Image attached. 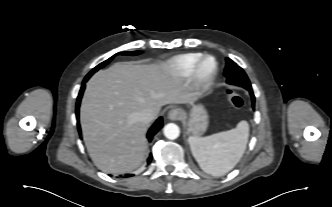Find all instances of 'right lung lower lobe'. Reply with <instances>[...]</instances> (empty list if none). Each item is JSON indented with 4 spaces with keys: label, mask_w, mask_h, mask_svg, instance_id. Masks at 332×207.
<instances>
[{
    "label": "right lung lower lobe",
    "mask_w": 332,
    "mask_h": 207,
    "mask_svg": "<svg viewBox=\"0 0 332 207\" xmlns=\"http://www.w3.org/2000/svg\"><path fill=\"white\" fill-rule=\"evenodd\" d=\"M87 81V79L85 78L82 84V87L80 89L78 98H77V103H76V117H77V126H78V130H79V134L81 135V130H80V125H79V106H80V101L82 98V94L83 91L85 89V82ZM163 126V122H162V118L160 117L154 124L153 126L150 128L148 134H147V138L149 139V141L152 140L153 136L162 128ZM152 160V154H150L149 158H148V163H150Z\"/></svg>",
    "instance_id": "1"
}]
</instances>
